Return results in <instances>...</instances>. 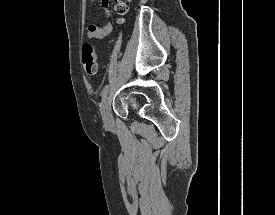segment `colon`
Wrapping results in <instances>:
<instances>
[{
  "label": "colon",
  "instance_id": "5ec220e1",
  "mask_svg": "<svg viewBox=\"0 0 275 215\" xmlns=\"http://www.w3.org/2000/svg\"><path fill=\"white\" fill-rule=\"evenodd\" d=\"M130 0H115V11L118 15H124L129 6ZM82 65L87 75H95L98 71V51L91 42H86L82 46Z\"/></svg>",
  "mask_w": 275,
  "mask_h": 215
}]
</instances>
